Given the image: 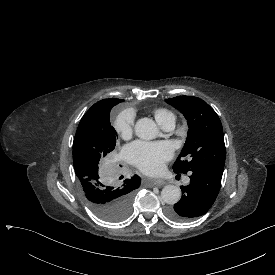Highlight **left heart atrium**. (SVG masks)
<instances>
[{"instance_id": "left-heart-atrium-1", "label": "left heart atrium", "mask_w": 275, "mask_h": 275, "mask_svg": "<svg viewBox=\"0 0 275 275\" xmlns=\"http://www.w3.org/2000/svg\"><path fill=\"white\" fill-rule=\"evenodd\" d=\"M126 158L146 173H156L171 158L172 149L166 142H135L125 149Z\"/></svg>"}]
</instances>
